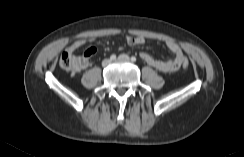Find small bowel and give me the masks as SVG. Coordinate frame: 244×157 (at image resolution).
Listing matches in <instances>:
<instances>
[{
	"mask_svg": "<svg viewBox=\"0 0 244 157\" xmlns=\"http://www.w3.org/2000/svg\"><path fill=\"white\" fill-rule=\"evenodd\" d=\"M94 38H82L76 40L71 48H77L87 42L93 41ZM126 41L129 45L135 46V45H142L145 43V39L141 36H130L128 35L126 37ZM166 47L169 49V51L173 54V58L169 60H157L153 58L150 54L146 52L140 53L141 59L147 63L149 66L155 68L157 71L161 73H173L176 72L182 62L183 53L179 45L174 42L173 40H166L165 41ZM93 51L95 52V49L93 48Z\"/></svg>",
	"mask_w": 244,
	"mask_h": 157,
	"instance_id": "small-bowel-1",
	"label": "small bowel"
}]
</instances>
